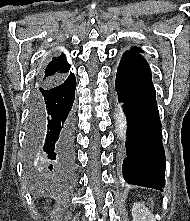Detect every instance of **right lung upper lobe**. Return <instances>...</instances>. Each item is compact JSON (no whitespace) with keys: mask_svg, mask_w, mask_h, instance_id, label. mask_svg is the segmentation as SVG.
I'll use <instances>...</instances> for the list:
<instances>
[{"mask_svg":"<svg viewBox=\"0 0 190 221\" xmlns=\"http://www.w3.org/2000/svg\"><path fill=\"white\" fill-rule=\"evenodd\" d=\"M70 65L67 62L65 54L58 57H53L52 61L47 65L45 71H42L38 76L39 82H47L57 79H62L71 72H69Z\"/></svg>","mask_w":190,"mask_h":221,"instance_id":"obj_1","label":"right lung upper lobe"}]
</instances>
